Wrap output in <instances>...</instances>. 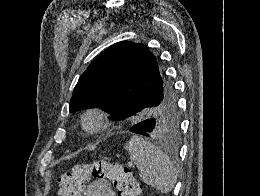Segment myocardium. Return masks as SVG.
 I'll use <instances>...</instances> for the list:
<instances>
[{
    "label": "myocardium",
    "mask_w": 260,
    "mask_h": 196,
    "mask_svg": "<svg viewBox=\"0 0 260 196\" xmlns=\"http://www.w3.org/2000/svg\"><path fill=\"white\" fill-rule=\"evenodd\" d=\"M85 124L83 130L85 133L94 135L103 132L109 124V114L101 108L91 107L85 110L84 114ZM89 121H93V124L90 126Z\"/></svg>",
    "instance_id": "obj_1"
}]
</instances>
